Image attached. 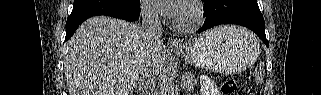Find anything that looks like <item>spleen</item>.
<instances>
[{
    "instance_id": "3e777b00",
    "label": "spleen",
    "mask_w": 321,
    "mask_h": 95,
    "mask_svg": "<svg viewBox=\"0 0 321 95\" xmlns=\"http://www.w3.org/2000/svg\"><path fill=\"white\" fill-rule=\"evenodd\" d=\"M264 73H265L264 64L260 62L258 67L256 68V74H255L256 84H261L263 82Z\"/></svg>"
}]
</instances>
